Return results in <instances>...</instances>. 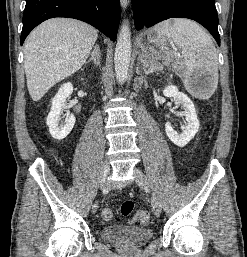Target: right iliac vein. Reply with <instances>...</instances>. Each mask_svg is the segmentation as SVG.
<instances>
[{"mask_svg": "<svg viewBox=\"0 0 247 257\" xmlns=\"http://www.w3.org/2000/svg\"><path fill=\"white\" fill-rule=\"evenodd\" d=\"M109 172H110V165H109V162L106 161L103 166L102 175H101V179H100V183H99L100 189L105 188L106 179H107Z\"/></svg>", "mask_w": 247, "mask_h": 257, "instance_id": "obj_1", "label": "right iliac vein"}]
</instances>
